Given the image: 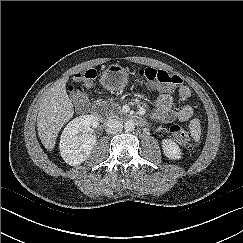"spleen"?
Returning <instances> with one entry per match:
<instances>
[{
  "instance_id": "obj_1",
  "label": "spleen",
  "mask_w": 243,
  "mask_h": 243,
  "mask_svg": "<svg viewBox=\"0 0 243 243\" xmlns=\"http://www.w3.org/2000/svg\"><path fill=\"white\" fill-rule=\"evenodd\" d=\"M191 130L194 134V138L199 139L200 135V123L198 119H193L191 121Z\"/></svg>"
}]
</instances>
